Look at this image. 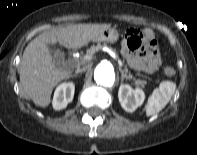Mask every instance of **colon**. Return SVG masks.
Here are the masks:
<instances>
[{
  "label": "colon",
  "instance_id": "obj_1",
  "mask_svg": "<svg viewBox=\"0 0 197 155\" xmlns=\"http://www.w3.org/2000/svg\"><path fill=\"white\" fill-rule=\"evenodd\" d=\"M126 39L128 46L132 51H144L148 45H155V40L152 36H148L146 32H141L134 28L127 31ZM165 73L171 76L174 74V69L172 67H167Z\"/></svg>",
  "mask_w": 197,
  "mask_h": 155
}]
</instances>
